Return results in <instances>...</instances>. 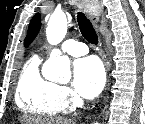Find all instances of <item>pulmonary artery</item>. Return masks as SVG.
<instances>
[{
	"label": "pulmonary artery",
	"mask_w": 145,
	"mask_h": 124,
	"mask_svg": "<svg viewBox=\"0 0 145 124\" xmlns=\"http://www.w3.org/2000/svg\"><path fill=\"white\" fill-rule=\"evenodd\" d=\"M61 50L71 56H82L88 53L87 46L75 40H67L61 46Z\"/></svg>",
	"instance_id": "obj_1"
}]
</instances>
